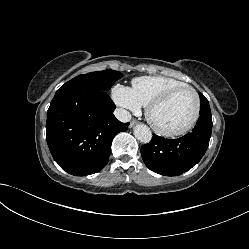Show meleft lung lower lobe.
I'll use <instances>...</instances> for the list:
<instances>
[{
	"label": "left lung lower lobe",
	"instance_id": "1",
	"mask_svg": "<svg viewBox=\"0 0 249 249\" xmlns=\"http://www.w3.org/2000/svg\"><path fill=\"white\" fill-rule=\"evenodd\" d=\"M211 115H201L192 132L178 139H165L153 134L141 147L145 165L153 172L177 176L197 164L205 154L211 137Z\"/></svg>",
	"mask_w": 249,
	"mask_h": 249
}]
</instances>
